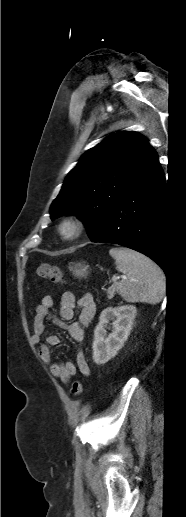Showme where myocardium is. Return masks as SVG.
Instances as JSON below:
<instances>
[{"instance_id": "obj_1", "label": "myocardium", "mask_w": 186, "mask_h": 517, "mask_svg": "<svg viewBox=\"0 0 186 517\" xmlns=\"http://www.w3.org/2000/svg\"><path fill=\"white\" fill-rule=\"evenodd\" d=\"M83 221L73 215L65 216L58 225L59 235L63 240L73 241L77 239L83 232Z\"/></svg>"}]
</instances>
